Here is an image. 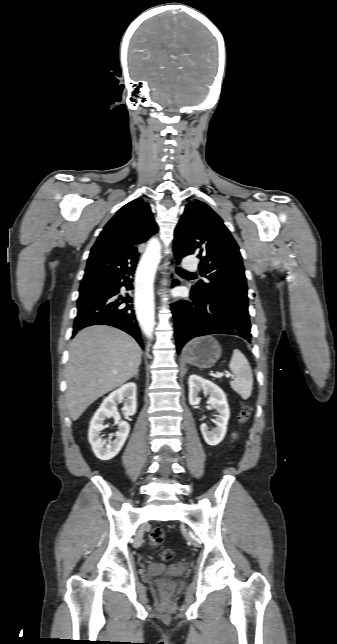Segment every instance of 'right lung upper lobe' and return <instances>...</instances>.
Returning <instances> with one entry per match:
<instances>
[{
    "instance_id": "right-lung-upper-lobe-1",
    "label": "right lung upper lobe",
    "mask_w": 337,
    "mask_h": 644,
    "mask_svg": "<svg viewBox=\"0 0 337 644\" xmlns=\"http://www.w3.org/2000/svg\"><path fill=\"white\" fill-rule=\"evenodd\" d=\"M157 230L148 203L136 199L123 206L105 225L92 247L81 283L110 280L136 266L137 246Z\"/></svg>"
}]
</instances>
